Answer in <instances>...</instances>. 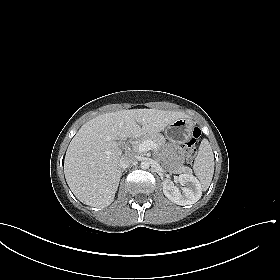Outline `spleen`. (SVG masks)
<instances>
[{"instance_id":"obj_1","label":"spleen","mask_w":280,"mask_h":280,"mask_svg":"<svg viewBox=\"0 0 280 280\" xmlns=\"http://www.w3.org/2000/svg\"><path fill=\"white\" fill-rule=\"evenodd\" d=\"M193 170L203 190H207L214 174V155L210 143L203 139L195 158Z\"/></svg>"}]
</instances>
